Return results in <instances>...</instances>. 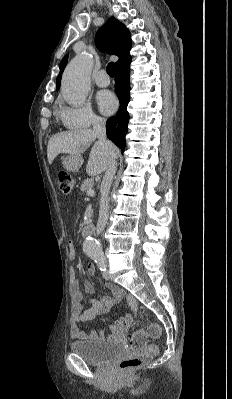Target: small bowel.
Masks as SVG:
<instances>
[{"mask_svg": "<svg viewBox=\"0 0 232 399\" xmlns=\"http://www.w3.org/2000/svg\"><path fill=\"white\" fill-rule=\"evenodd\" d=\"M69 255L70 258H74L76 255V244L74 242H69ZM98 276V271L96 268L91 269L90 277L96 278ZM104 287L111 291L114 295L115 300H120L125 298L128 302L131 311H137V303L135 296L130 293H124L121 289L116 288L110 282L105 281ZM94 290L92 288H87L84 291L80 289V277L78 276L75 269L71 268L69 272V296L72 305H77L83 294L92 295ZM113 305V299L109 297H104L102 300H90L88 306L83 308L81 311L75 312L70 317V328L69 335L72 339L77 341L81 345H96L103 340L113 339L120 332L129 330L131 327V317L127 315L126 319L114 322L110 325L109 333H100L92 331L88 336L87 333L80 326V323L93 318L99 314L107 312Z\"/></svg>", "mask_w": 232, "mask_h": 399, "instance_id": "obj_1", "label": "small bowel"}]
</instances>
